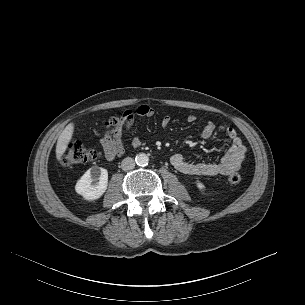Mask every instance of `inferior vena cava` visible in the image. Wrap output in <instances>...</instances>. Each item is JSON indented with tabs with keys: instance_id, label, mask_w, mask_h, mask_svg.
<instances>
[{
	"instance_id": "obj_1",
	"label": "inferior vena cava",
	"mask_w": 305,
	"mask_h": 305,
	"mask_svg": "<svg viewBox=\"0 0 305 305\" xmlns=\"http://www.w3.org/2000/svg\"><path fill=\"white\" fill-rule=\"evenodd\" d=\"M135 167V161L131 157L124 158L121 162V168L124 171L132 170Z\"/></svg>"
}]
</instances>
